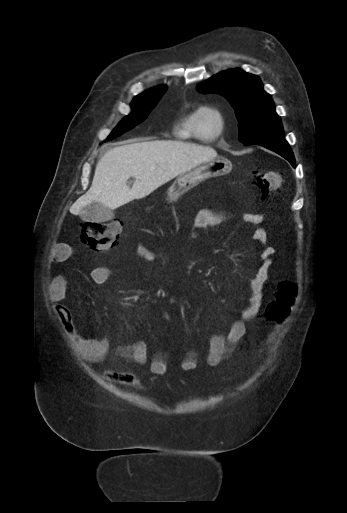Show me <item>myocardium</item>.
Wrapping results in <instances>:
<instances>
[{
	"mask_svg": "<svg viewBox=\"0 0 347 513\" xmlns=\"http://www.w3.org/2000/svg\"><path fill=\"white\" fill-rule=\"evenodd\" d=\"M206 114L213 116L217 121V129L210 135H205V137L211 141L220 137L223 134L226 127V116L224 111L217 106L205 105L199 107L195 118V130L197 133L202 135L203 133L201 130V118Z\"/></svg>",
	"mask_w": 347,
	"mask_h": 513,
	"instance_id": "myocardium-1",
	"label": "myocardium"
}]
</instances>
